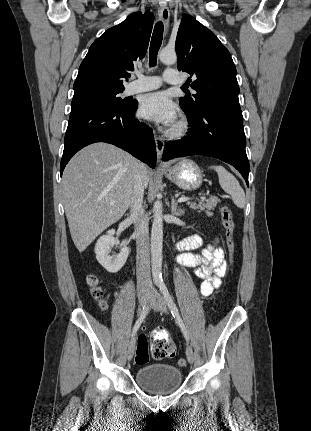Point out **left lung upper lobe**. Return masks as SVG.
<instances>
[{
	"label": "left lung upper lobe",
	"mask_w": 311,
	"mask_h": 431,
	"mask_svg": "<svg viewBox=\"0 0 311 431\" xmlns=\"http://www.w3.org/2000/svg\"><path fill=\"white\" fill-rule=\"evenodd\" d=\"M178 69L190 74L197 92L180 98L187 116L223 102L239 103L236 68L227 48L194 17L184 15L177 32Z\"/></svg>",
	"instance_id": "5c2ea615"
}]
</instances>
